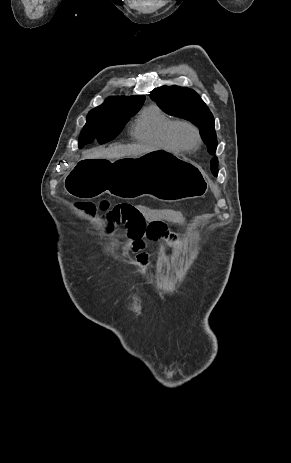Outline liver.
<instances>
[{
	"instance_id": "liver-1",
	"label": "liver",
	"mask_w": 291,
	"mask_h": 463,
	"mask_svg": "<svg viewBox=\"0 0 291 463\" xmlns=\"http://www.w3.org/2000/svg\"><path fill=\"white\" fill-rule=\"evenodd\" d=\"M155 148L147 145H115L110 148H96L88 150L84 156L83 160L90 159H105V160H115L125 157H138L145 153L154 151Z\"/></svg>"
}]
</instances>
